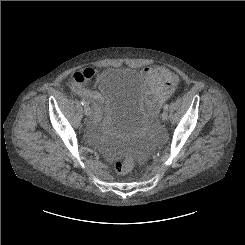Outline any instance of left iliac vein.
<instances>
[{
    "label": "left iliac vein",
    "mask_w": 245,
    "mask_h": 245,
    "mask_svg": "<svg viewBox=\"0 0 245 245\" xmlns=\"http://www.w3.org/2000/svg\"><path fill=\"white\" fill-rule=\"evenodd\" d=\"M161 119L163 121H166L168 119V112L166 110L163 111V113L161 114Z\"/></svg>",
    "instance_id": "1"
}]
</instances>
